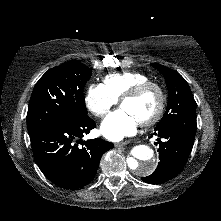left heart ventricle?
Returning a JSON list of instances; mask_svg holds the SVG:
<instances>
[{
    "instance_id": "obj_1",
    "label": "left heart ventricle",
    "mask_w": 221,
    "mask_h": 221,
    "mask_svg": "<svg viewBox=\"0 0 221 221\" xmlns=\"http://www.w3.org/2000/svg\"><path fill=\"white\" fill-rule=\"evenodd\" d=\"M158 101L159 97L156 90L149 89L139 97L125 100L121 106L141 122L154 114Z\"/></svg>"
}]
</instances>
